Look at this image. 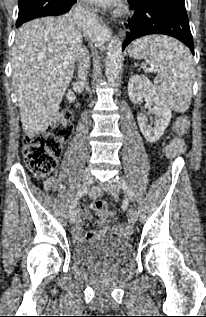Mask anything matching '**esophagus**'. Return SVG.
<instances>
[{
    "mask_svg": "<svg viewBox=\"0 0 206 317\" xmlns=\"http://www.w3.org/2000/svg\"><path fill=\"white\" fill-rule=\"evenodd\" d=\"M85 8L88 9L87 6H85ZM101 28H102V35H104V38H106L107 40L110 39L111 38L110 28L103 22H102Z\"/></svg>",
    "mask_w": 206,
    "mask_h": 317,
    "instance_id": "obj_1",
    "label": "esophagus"
}]
</instances>
